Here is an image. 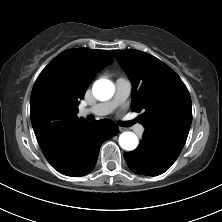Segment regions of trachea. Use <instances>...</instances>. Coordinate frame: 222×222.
Masks as SVG:
<instances>
[{
  "mask_svg": "<svg viewBox=\"0 0 222 222\" xmlns=\"http://www.w3.org/2000/svg\"><path fill=\"white\" fill-rule=\"evenodd\" d=\"M135 122H136L135 120L127 121V122H121L120 126H122V127H129V126L133 125Z\"/></svg>",
  "mask_w": 222,
  "mask_h": 222,
  "instance_id": "3493384b",
  "label": "trachea"
}]
</instances>
